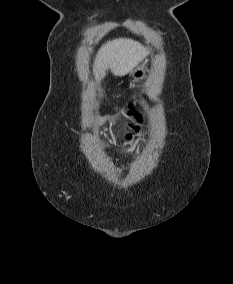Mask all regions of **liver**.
I'll return each instance as SVG.
<instances>
[{
	"instance_id": "1",
	"label": "liver",
	"mask_w": 233,
	"mask_h": 284,
	"mask_svg": "<svg viewBox=\"0 0 233 284\" xmlns=\"http://www.w3.org/2000/svg\"><path fill=\"white\" fill-rule=\"evenodd\" d=\"M148 53L144 46L132 39L108 41L96 55L93 73L99 81L106 76L108 69L116 76H125L141 63Z\"/></svg>"
}]
</instances>
